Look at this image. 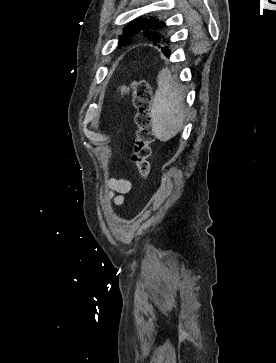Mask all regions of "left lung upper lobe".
<instances>
[{
	"mask_svg": "<svg viewBox=\"0 0 276 363\" xmlns=\"http://www.w3.org/2000/svg\"><path fill=\"white\" fill-rule=\"evenodd\" d=\"M164 27L165 23L159 21L157 17L140 16L123 29L124 34L119 40V47L125 46L128 43V39L136 34H142L153 41L161 40L163 38L161 31ZM167 48V46L163 47L162 51Z\"/></svg>",
	"mask_w": 276,
	"mask_h": 363,
	"instance_id": "obj_1",
	"label": "left lung upper lobe"
}]
</instances>
